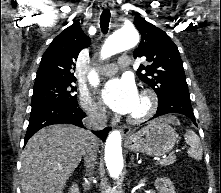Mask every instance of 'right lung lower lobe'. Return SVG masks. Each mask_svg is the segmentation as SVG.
I'll return each instance as SVG.
<instances>
[{
    "instance_id": "98d812e1",
    "label": "right lung lower lobe",
    "mask_w": 221,
    "mask_h": 193,
    "mask_svg": "<svg viewBox=\"0 0 221 193\" xmlns=\"http://www.w3.org/2000/svg\"><path fill=\"white\" fill-rule=\"evenodd\" d=\"M84 117H86V114L78 107V104L58 102L32 107L24 144L38 130L48 125L68 123L83 128L82 119ZM110 129L108 127L103 130L93 131V133L105 141Z\"/></svg>"
}]
</instances>
